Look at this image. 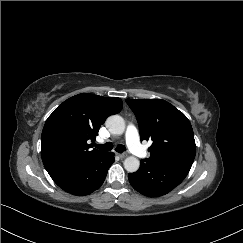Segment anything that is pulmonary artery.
<instances>
[{"instance_id":"pulmonary-artery-1","label":"pulmonary artery","mask_w":243,"mask_h":243,"mask_svg":"<svg viewBox=\"0 0 243 243\" xmlns=\"http://www.w3.org/2000/svg\"><path fill=\"white\" fill-rule=\"evenodd\" d=\"M125 138L128 147L133 151V153L138 157H144L146 152L142 148L139 140V133L137 128L130 124L127 126L125 131ZM100 142V141H99Z\"/></svg>"}]
</instances>
